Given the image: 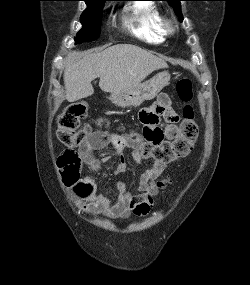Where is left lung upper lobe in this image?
Instances as JSON below:
<instances>
[{
	"mask_svg": "<svg viewBox=\"0 0 250 285\" xmlns=\"http://www.w3.org/2000/svg\"><path fill=\"white\" fill-rule=\"evenodd\" d=\"M167 1L174 9L175 14L179 17V21H183L182 13H181V6H180V1L183 0H164Z\"/></svg>",
	"mask_w": 250,
	"mask_h": 285,
	"instance_id": "left-lung-upper-lobe-1",
	"label": "left lung upper lobe"
}]
</instances>
